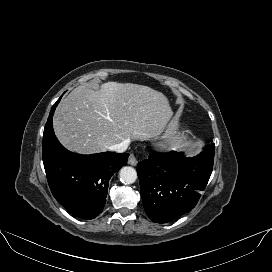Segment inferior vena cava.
<instances>
[{
  "label": "inferior vena cava",
  "instance_id": "obj_1",
  "mask_svg": "<svg viewBox=\"0 0 272 272\" xmlns=\"http://www.w3.org/2000/svg\"><path fill=\"white\" fill-rule=\"evenodd\" d=\"M128 144V141H122L120 143L109 146L108 149L117 153H122L126 151V149L128 148Z\"/></svg>",
  "mask_w": 272,
  "mask_h": 272
}]
</instances>
